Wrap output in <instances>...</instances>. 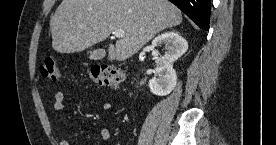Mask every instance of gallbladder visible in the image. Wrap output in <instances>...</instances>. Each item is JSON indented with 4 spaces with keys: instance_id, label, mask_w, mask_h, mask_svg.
Wrapping results in <instances>:
<instances>
[{
    "instance_id": "bac80fb5",
    "label": "gallbladder",
    "mask_w": 276,
    "mask_h": 145,
    "mask_svg": "<svg viewBox=\"0 0 276 145\" xmlns=\"http://www.w3.org/2000/svg\"><path fill=\"white\" fill-rule=\"evenodd\" d=\"M105 57V51L103 49H95L90 53V60H101Z\"/></svg>"
}]
</instances>
